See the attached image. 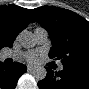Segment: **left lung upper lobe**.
<instances>
[{"label": "left lung upper lobe", "instance_id": "left-lung-upper-lobe-1", "mask_svg": "<svg viewBox=\"0 0 89 89\" xmlns=\"http://www.w3.org/2000/svg\"><path fill=\"white\" fill-rule=\"evenodd\" d=\"M51 38L49 57L61 60L64 68L89 69V22L63 8L42 6L31 10Z\"/></svg>", "mask_w": 89, "mask_h": 89}]
</instances>
